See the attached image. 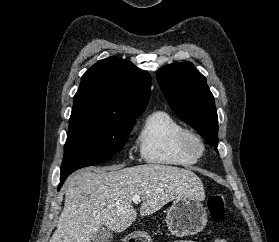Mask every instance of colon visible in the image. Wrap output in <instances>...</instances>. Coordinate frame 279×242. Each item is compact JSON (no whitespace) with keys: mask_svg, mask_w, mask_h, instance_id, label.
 <instances>
[{"mask_svg":"<svg viewBox=\"0 0 279 242\" xmlns=\"http://www.w3.org/2000/svg\"><path fill=\"white\" fill-rule=\"evenodd\" d=\"M207 207L210 218L214 221H221L225 216V199L222 194H212L207 199Z\"/></svg>","mask_w":279,"mask_h":242,"instance_id":"obj_1","label":"colon"}]
</instances>
